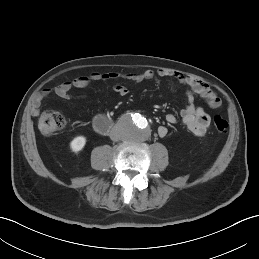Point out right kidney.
<instances>
[{"mask_svg":"<svg viewBox=\"0 0 259 259\" xmlns=\"http://www.w3.org/2000/svg\"><path fill=\"white\" fill-rule=\"evenodd\" d=\"M85 144L86 138L84 136H77L71 141L70 148L74 152H79L84 148Z\"/></svg>","mask_w":259,"mask_h":259,"instance_id":"1","label":"right kidney"}]
</instances>
